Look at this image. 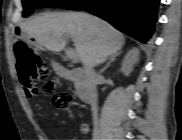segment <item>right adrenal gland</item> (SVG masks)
I'll list each match as a JSON object with an SVG mask.
<instances>
[{
	"instance_id": "right-adrenal-gland-1",
	"label": "right adrenal gland",
	"mask_w": 182,
	"mask_h": 140,
	"mask_svg": "<svg viewBox=\"0 0 182 140\" xmlns=\"http://www.w3.org/2000/svg\"><path fill=\"white\" fill-rule=\"evenodd\" d=\"M120 53H115V54H112L110 57H109V61L106 63V65L104 66V68L99 72V73H102L104 72L110 65L112 62H114L116 60V57L119 55Z\"/></svg>"
}]
</instances>
